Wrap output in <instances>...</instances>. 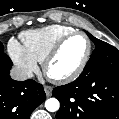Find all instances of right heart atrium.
Returning <instances> with one entry per match:
<instances>
[{
    "label": "right heart atrium",
    "instance_id": "d8ad5b80",
    "mask_svg": "<svg viewBox=\"0 0 119 119\" xmlns=\"http://www.w3.org/2000/svg\"><path fill=\"white\" fill-rule=\"evenodd\" d=\"M8 51L22 75L30 77L38 70L37 61L28 53L24 45L16 39L9 41Z\"/></svg>",
    "mask_w": 119,
    "mask_h": 119
}]
</instances>
